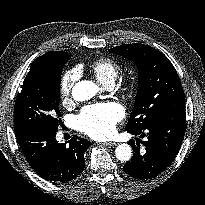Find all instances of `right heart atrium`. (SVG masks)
<instances>
[{
	"label": "right heart atrium",
	"instance_id": "d8ad5b80",
	"mask_svg": "<svg viewBox=\"0 0 205 205\" xmlns=\"http://www.w3.org/2000/svg\"><path fill=\"white\" fill-rule=\"evenodd\" d=\"M78 77L79 74L76 69H71L64 73L59 85V94L62 100L68 101L70 99L72 88Z\"/></svg>",
	"mask_w": 205,
	"mask_h": 205
}]
</instances>
